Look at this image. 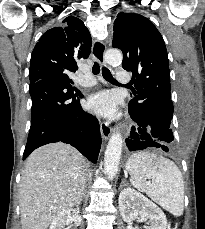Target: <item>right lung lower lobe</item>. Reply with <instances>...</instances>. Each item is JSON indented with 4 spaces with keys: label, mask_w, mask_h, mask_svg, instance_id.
Returning a JSON list of instances; mask_svg holds the SVG:
<instances>
[{
    "label": "right lung lower lobe",
    "mask_w": 205,
    "mask_h": 229,
    "mask_svg": "<svg viewBox=\"0 0 205 229\" xmlns=\"http://www.w3.org/2000/svg\"><path fill=\"white\" fill-rule=\"evenodd\" d=\"M29 91L31 127L23 160L42 145L62 141L95 163L102 142L100 126L96 117L80 106L81 92L53 78L31 84Z\"/></svg>",
    "instance_id": "1"
}]
</instances>
